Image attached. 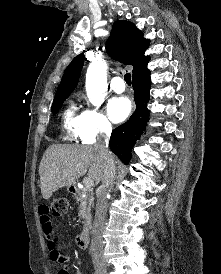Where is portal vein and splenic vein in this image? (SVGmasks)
Listing matches in <instances>:
<instances>
[{
	"label": "portal vein and splenic vein",
	"instance_id": "portal-vein-and-splenic-vein-1",
	"mask_svg": "<svg viewBox=\"0 0 221 274\" xmlns=\"http://www.w3.org/2000/svg\"><path fill=\"white\" fill-rule=\"evenodd\" d=\"M83 184H84V186L86 187V188H91L92 186H93V184H94V182H93V180L91 179V178H85L84 180H83Z\"/></svg>",
	"mask_w": 221,
	"mask_h": 274
}]
</instances>
